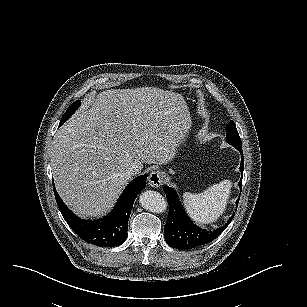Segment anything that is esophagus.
Segmentation results:
<instances>
[{
    "label": "esophagus",
    "instance_id": "obj_1",
    "mask_svg": "<svg viewBox=\"0 0 307 307\" xmlns=\"http://www.w3.org/2000/svg\"><path fill=\"white\" fill-rule=\"evenodd\" d=\"M164 177L163 171H152L148 177V184L154 188L160 187L163 184Z\"/></svg>",
    "mask_w": 307,
    "mask_h": 307
}]
</instances>
